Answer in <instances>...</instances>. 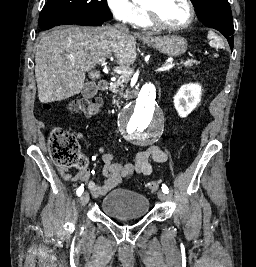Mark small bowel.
I'll return each mask as SVG.
<instances>
[{
  "mask_svg": "<svg viewBox=\"0 0 256 267\" xmlns=\"http://www.w3.org/2000/svg\"><path fill=\"white\" fill-rule=\"evenodd\" d=\"M77 141H82L81 135L76 137ZM104 167H103V184H98L90 179V172L82 169L75 174L70 173L69 169L64 166H58V172L65 181L80 182L88 186L93 196L100 197L116 188L124 180L134 175L149 176L152 173V162L163 164L167 161V154L158 146L150 145L135 153L133 158L127 162H115L113 154L105 148L98 149Z\"/></svg>",
  "mask_w": 256,
  "mask_h": 267,
  "instance_id": "c3829d8e",
  "label": "small bowel"
}]
</instances>
